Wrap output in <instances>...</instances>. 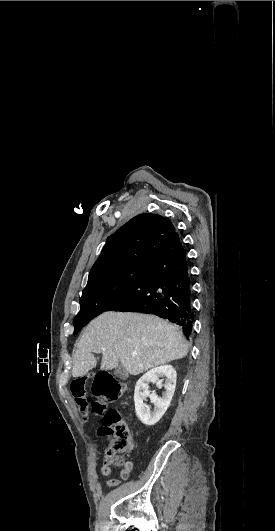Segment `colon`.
Instances as JSON below:
<instances>
[{
    "mask_svg": "<svg viewBox=\"0 0 275 531\" xmlns=\"http://www.w3.org/2000/svg\"><path fill=\"white\" fill-rule=\"evenodd\" d=\"M92 388V389H91ZM91 389L94 402L91 405L92 412L97 410L101 417V427L98 433L101 437L111 439L107 449L108 464L107 469L113 470L118 467L123 459L128 455L132 446V430L130 424L123 419L121 412L117 409H106L107 405L115 402L123 393L128 390V383L114 377L107 370H100L94 375L84 373L76 378L68 380V393L72 395V400L78 402L80 409L77 410V421L85 423L88 421V404L83 400V396L88 395ZM132 467L123 466L121 469L122 479L130 476ZM117 483V480H109L110 485Z\"/></svg>",
    "mask_w": 275,
    "mask_h": 531,
    "instance_id": "1",
    "label": "colon"
}]
</instances>
